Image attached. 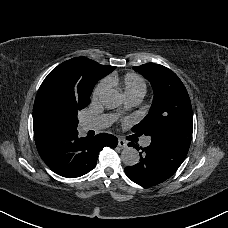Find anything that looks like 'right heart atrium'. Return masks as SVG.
I'll return each instance as SVG.
<instances>
[{"label":"right heart atrium","instance_id":"d8ad5b80","mask_svg":"<svg viewBox=\"0 0 228 228\" xmlns=\"http://www.w3.org/2000/svg\"><path fill=\"white\" fill-rule=\"evenodd\" d=\"M106 90L104 88V86L100 85L96 88L95 92H94V99H102L103 96L105 95Z\"/></svg>","mask_w":228,"mask_h":228}]
</instances>
